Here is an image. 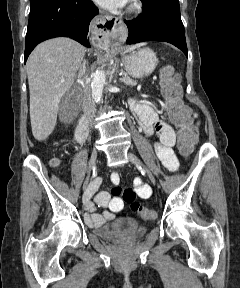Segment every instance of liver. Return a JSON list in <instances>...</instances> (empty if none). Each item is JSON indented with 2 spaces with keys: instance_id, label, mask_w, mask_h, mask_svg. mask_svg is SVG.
<instances>
[{
  "instance_id": "6515ba94",
  "label": "liver",
  "mask_w": 240,
  "mask_h": 288,
  "mask_svg": "<svg viewBox=\"0 0 240 288\" xmlns=\"http://www.w3.org/2000/svg\"><path fill=\"white\" fill-rule=\"evenodd\" d=\"M85 48L58 37L40 43L27 61L30 120L35 139L43 141L53 132L59 103L72 87L82 67Z\"/></svg>"
}]
</instances>
